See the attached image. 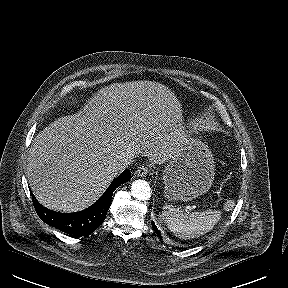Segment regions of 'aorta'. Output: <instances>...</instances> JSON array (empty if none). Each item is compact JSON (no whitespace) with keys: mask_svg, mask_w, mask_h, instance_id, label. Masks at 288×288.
Here are the masks:
<instances>
[{"mask_svg":"<svg viewBox=\"0 0 288 288\" xmlns=\"http://www.w3.org/2000/svg\"><path fill=\"white\" fill-rule=\"evenodd\" d=\"M131 194L137 200H148L151 197V187L147 181L137 179L131 184Z\"/></svg>","mask_w":288,"mask_h":288,"instance_id":"aorta-1","label":"aorta"}]
</instances>
